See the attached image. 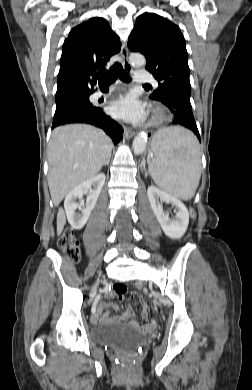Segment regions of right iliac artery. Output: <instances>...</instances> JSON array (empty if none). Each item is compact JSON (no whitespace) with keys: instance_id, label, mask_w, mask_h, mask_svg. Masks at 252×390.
<instances>
[{"instance_id":"1","label":"right iliac artery","mask_w":252,"mask_h":390,"mask_svg":"<svg viewBox=\"0 0 252 390\" xmlns=\"http://www.w3.org/2000/svg\"><path fill=\"white\" fill-rule=\"evenodd\" d=\"M102 298V292H99V294L97 295L96 298L93 299V304L91 306V312H90V315L91 316H95L96 315V312H97V305L100 304V299Z\"/></svg>"}]
</instances>
